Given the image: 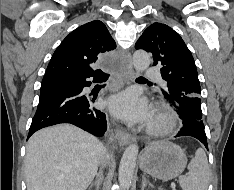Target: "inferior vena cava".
I'll list each match as a JSON object with an SVG mask.
<instances>
[{
	"instance_id": "1",
	"label": "inferior vena cava",
	"mask_w": 234,
	"mask_h": 190,
	"mask_svg": "<svg viewBox=\"0 0 234 190\" xmlns=\"http://www.w3.org/2000/svg\"><path fill=\"white\" fill-rule=\"evenodd\" d=\"M105 157H106V155L103 157V159L101 161L102 166L105 165Z\"/></svg>"
}]
</instances>
